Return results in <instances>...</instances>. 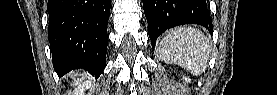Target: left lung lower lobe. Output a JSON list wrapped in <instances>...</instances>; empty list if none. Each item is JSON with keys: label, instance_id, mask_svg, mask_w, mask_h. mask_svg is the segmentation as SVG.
Listing matches in <instances>:
<instances>
[{"label": "left lung lower lobe", "instance_id": "left-lung-lower-lobe-1", "mask_svg": "<svg viewBox=\"0 0 277 95\" xmlns=\"http://www.w3.org/2000/svg\"><path fill=\"white\" fill-rule=\"evenodd\" d=\"M148 33L154 49L165 30L183 24H198L212 30L206 0H143Z\"/></svg>", "mask_w": 277, "mask_h": 95}]
</instances>
